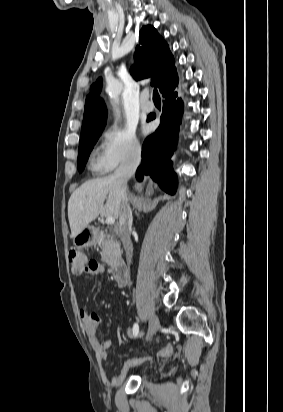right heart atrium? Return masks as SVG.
Listing matches in <instances>:
<instances>
[{"label":"right heart atrium","instance_id":"right-heart-atrium-1","mask_svg":"<svg viewBox=\"0 0 283 412\" xmlns=\"http://www.w3.org/2000/svg\"><path fill=\"white\" fill-rule=\"evenodd\" d=\"M141 153V144L131 129L114 127L102 137L99 166L103 171L115 169L121 163L136 159Z\"/></svg>","mask_w":283,"mask_h":412}]
</instances>
